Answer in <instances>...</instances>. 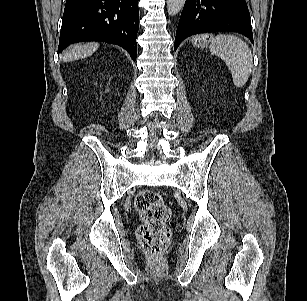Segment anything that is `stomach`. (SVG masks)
Returning <instances> with one entry per match:
<instances>
[{"instance_id": "stomach-1", "label": "stomach", "mask_w": 307, "mask_h": 301, "mask_svg": "<svg viewBox=\"0 0 307 301\" xmlns=\"http://www.w3.org/2000/svg\"><path fill=\"white\" fill-rule=\"evenodd\" d=\"M211 37L210 35L208 34H204V35H200V36H196L192 39V43L195 45V46H198V47H207L209 42L211 41Z\"/></svg>"}]
</instances>
